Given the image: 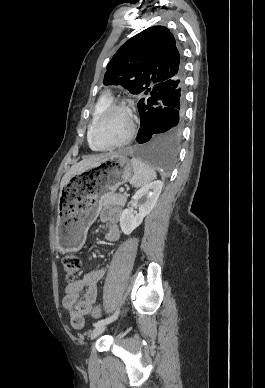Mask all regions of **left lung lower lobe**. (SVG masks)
Returning a JSON list of instances; mask_svg holds the SVG:
<instances>
[{
  "instance_id": "0a47b994",
  "label": "left lung lower lobe",
  "mask_w": 265,
  "mask_h": 388,
  "mask_svg": "<svg viewBox=\"0 0 265 388\" xmlns=\"http://www.w3.org/2000/svg\"><path fill=\"white\" fill-rule=\"evenodd\" d=\"M140 129L133 154L163 171L176 159L184 118V74L159 84L138 102Z\"/></svg>"
}]
</instances>
